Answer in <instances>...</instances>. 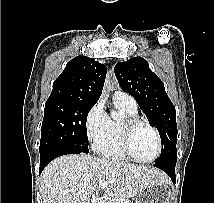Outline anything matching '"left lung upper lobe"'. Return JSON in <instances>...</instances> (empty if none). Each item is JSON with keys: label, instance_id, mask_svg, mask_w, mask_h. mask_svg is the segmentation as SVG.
<instances>
[{"label": "left lung upper lobe", "instance_id": "1", "mask_svg": "<svg viewBox=\"0 0 214 203\" xmlns=\"http://www.w3.org/2000/svg\"><path fill=\"white\" fill-rule=\"evenodd\" d=\"M114 71L120 87L136 99L149 123L155 125L160 134L162 151L155 162H176V111L161 79L142 57L119 62Z\"/></svg>", "mask_w": 214, "mask_h": 203}]
</instances>
